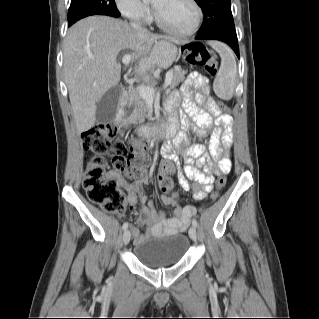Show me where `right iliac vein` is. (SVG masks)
<instances>
[{
  "label": "right iliac vein",
  "mask_w": 319,
  "mask_h": 319,
  "mask_svg": "<svg viewBox=\"0 0 319 319\" xmlns=\"http://www.w3.org/2000/svg\"><path fill=\"white\" fill-rule=\"evenodd\" d=\"M131 239V232L130 230H125L123 233V244L127 245Z\"/></svg>",
  "instance_id": "obj_1"
}]
</instances>
